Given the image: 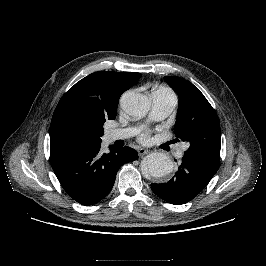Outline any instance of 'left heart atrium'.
Here are the masks:
<instances>
[{"mask_svg":"<svg viewBox=\"0 0 266 266\" xmlns=\"http://www.w3.org/2000/svg\"><path fill=\"white\" fill-rule=\"evenodd\" d=\"M146 137H147V134H144V135L142 136L143 139H145Z\"/></svg>","mask_w":266,"mask_h":266,"instance_id":"1","label":"left heart atrium"}]
</instances>
